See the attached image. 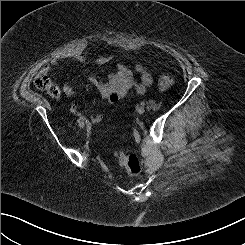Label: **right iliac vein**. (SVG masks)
<instances>
[{
	"label": "right iliac vein",
	"mask_w": 245,
	"mask_h": 245,
	"mask_svg": "<svg viewBox=\"0 0 245 245\" xmlns=\"http://www.w3.org/2000/svg\"><path fill=\"white\" fill-rule=\"evenodd\" d=\"M85 124L84 122L80 125V128H84Z\"/></svg>",
	"instance_id": "1"
}]
</instances>
